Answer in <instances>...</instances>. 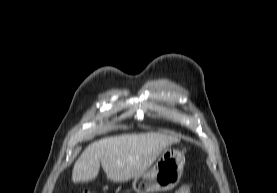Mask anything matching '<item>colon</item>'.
Here are the masks:
<instances>
[{
  "instance_id": "5ec220e1",
  "label": "colon",
  "mask_w": 277,
  "mask_h": 193,
  "mask_svg": "<svg viewBox=\"0 0 277 193\" xmlns=\"http://www.w3.org/2000/svg\"><path fill=\"white\" fill-rule=\"evenodd\" d=\"M82 193H90L87 191H84ZM174 193H191V184L185 183L183 184L178 190H176Z\"/></svg>"
}]
</instances>
